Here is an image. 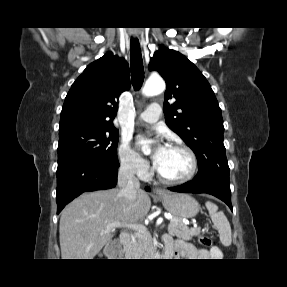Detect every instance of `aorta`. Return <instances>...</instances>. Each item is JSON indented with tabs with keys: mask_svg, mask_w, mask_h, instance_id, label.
<instances>
[{
	"mask_svg": "<svg viewBox=\"0 0 287 287\" xmlns=\"http://www.w3.org/2000/svg\"><path fill=\"white\" fill-rule=\"evenodd\" d=\"M165 90V83L161 78H150L146 81L142 93L145 96H153ZM149 149L146 150L148 152Z\"/></svg>",
	"mask_w": 287,
	"mask_h": 287,
	"instance_id": "obj_1",
	"label": "aorta"
}]
</instances>
